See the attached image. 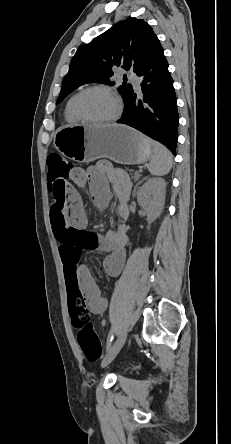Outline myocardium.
<instances>
[{
	"label": "myocardium",
	"mask_w": 231,
	"mask_h": 444,
	"mask_svg": "<svg viewBox=\"0 0 231 444\" xmlns=\"http://www.w3.org/2000/svg\"><path fill=\"white\" fill-rule=\"evenodd\" d=\"M95 90L105 92L106 94H108L112 98V100L115 104V112L109 118H106L103 120H91V119L86 118L80 112L79 101H80L81 97L84 94H86L90 91H95ZM72 111H73V114L75 115V117L83 123L91 124V125H106V124L114 123L115 121L118 120V118L120 117L121 112H122V103H121L120 98L116 94V92L113 89H111L110 87L105 86V85H91V86H88V87L82 89L81 91H79L76 94L73 104H72Z\"/></svg>",
	"instance_id": "myocardium-1"
}]
</instances>
